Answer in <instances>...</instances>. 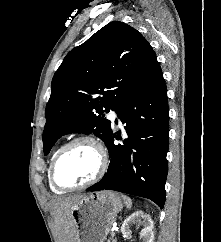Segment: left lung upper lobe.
<instances>
[{
  "label": "left lung upper lobe",
  "mask_w": 221,
  "mask_h": 242,
  "mask_svg": "<svg viewBox=\"0 0 221 242\" xmlns=\"http://www.w3.org/2000/svg\"><path fill=\"white\" fill-rule=\"evenodd\" d=\"M159 67L147 40L120 21L105 25L70 51L52 79L45 109L44 154L68 133H94L105 142L111 121L104 113L118 112Z\"/></svg>",
  "instance_id": "obj_1"
}]
</instances>
